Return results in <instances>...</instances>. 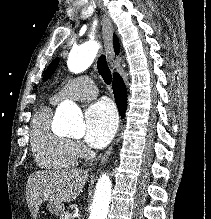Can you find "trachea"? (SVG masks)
<instances>
[{"instance_id":"3493384b","label":"trachea","mask_w":211,"mask_h":219,"mask_svg":"<svg viewBox=\"0 0 211 219\" xmlns=\"http://www.w3.org/2000/svg\"><path fill=\"white\" fill-rule=\"evenodd\" d=\"M97 69L101 77L106 84H110L112 81L111 71L107 65L106 56L100 55L97 61Z\"/></svg>"}]
</instances>
